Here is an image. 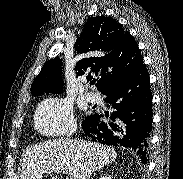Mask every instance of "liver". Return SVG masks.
<instances>
[{"instance_id": "6515ba94", "label": "liver", "mask_w": 183, "mask_h": 179, "mask_svg": "<svg viewBox=\"0 0 183 179\" xmlns=\"http://www.w3.org/2000/svg\"><path fill=\"white\" fill-rule=\"evenodd\" d=\"M116 158L114 149L98 143L73 139L50 140L26 149L20 179H42L46 172H63L71 179H89L94 171Z\"/></svg>"}]
</instances>
